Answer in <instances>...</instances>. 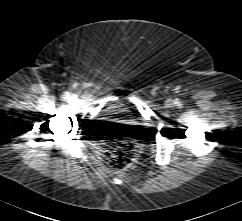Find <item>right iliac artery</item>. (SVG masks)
Segmentation results:
<instances>
[{
  "label": "right iliac artery",
  "instance_id": "obj_1",
  "mask_svg": "<svg viewBox=\"0 0 242 221\" xmlns=\"http://www.w3.org/2000/svg\"><path fill=\"white\" fill-rule=\"evenodd\" d=\"M67 97H68V92H64V93L62 94V98L65 100V99H67Z\"/></svg>",
  "mask_w": 242,
  "mask_h": 221
}]
</instances>
